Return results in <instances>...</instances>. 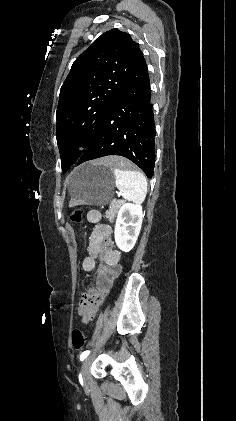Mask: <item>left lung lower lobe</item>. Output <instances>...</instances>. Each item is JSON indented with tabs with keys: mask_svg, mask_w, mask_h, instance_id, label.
Returning a JSON list of instances; mask_svg holds the SVG:
<instances>
[{
	"mask_svg": "<svg viewBox=\"0 0 236 421\" xmlns=\"http://www.w3.org/2000/svg\"><path fill=\"white\" fill-rule=\"evenodd\" d=\"M147 65L141 50L121 92L91 137L77 165L107 155L133 161L152 178L155 163V126ZM69 166L62 163V168Z\"/></svg>",
	"mask_w": 236,
	"mask_h": 421,
	"instance_id": "obj_1",
	"label": "left lung lower lobe"
}]
</instances>
